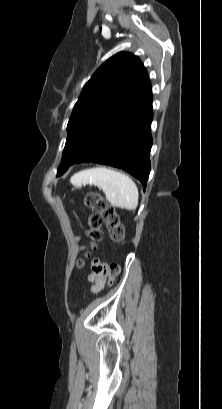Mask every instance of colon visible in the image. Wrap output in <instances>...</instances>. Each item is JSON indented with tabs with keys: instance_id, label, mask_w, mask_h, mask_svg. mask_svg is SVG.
Returning a JSON list of instances; mask_svg holds the SVG:
<instances>
[{
	"instance_id": "obj_1",
	"label": "colon",
	"mask_w": 222,
	"mask_h": 409,
	"mask_svg": "<svg viewBox=\"0 0 222 409\" xmlns=\"http://www.w3.org/2000/svg\"><path fill=\"white\" fill-rule=\"evenodd\" d=\"M84 205L91 209L92 215L89 218V227L86 235L92 246L96 245L102 238L100 226L105 223L110 238L114 242H122L125 237L124 227L112 206L97 192L88 191L84 194ZM83 265V260L78 261V266ZM120 273V266L117 263H111L107 270L110 281L114 280Z\"/></svg>"
}]
</instances>
